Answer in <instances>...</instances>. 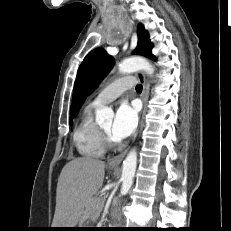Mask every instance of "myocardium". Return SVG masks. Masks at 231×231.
I'll return each mask as SVG.
<instances>
[{
	"instance_id": "obj_1",
	"label": "myocardium",
	"mask_w": 231,
	"mask_h": 231,
	"mask_svg": "<svg viewBox=\"0 0 231 231\" xmlns=\"http://www.w3.org/2000/svg\"><path fill=\"white\" fill-rule=\"evenodd\" d=\"M99 132H100L102 143L105 148L116 147V141L113 138H111L101 127H99Z\"/></svg>"
}]
</instances>
